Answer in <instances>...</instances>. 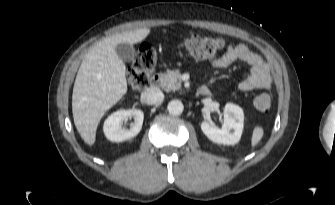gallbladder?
Segmentation results:
<instances>
[{"label":"gallbladder","instance_id":"gallbladder-1","mask_svg":"<svg viewBox=\"0 0 335 205\" xmlns=\"http://www.w3.org/2000/svg\"><path fill=\"white\" fill-rule=\"evenodd\" d=\"M115 50L119 58L124 62H131L134 59L135 49L129 43L117 44Z\"/></svg>","mask_w":335,"mask_h":205}]
</instances>
